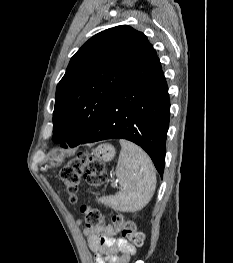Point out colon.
<instances>
[{"mask_svg": "<svg viewBox=\"0 0 233 263\" xmlns=\"http://www.w3.org/2000/svg\"><path fill=\"white\" fill-rule=\"evenodd\" d=\"M60 177L65 185L66 191L70 194L71 201L75 202L76 193L82 178L85 179L88 185L96 187L105 181L106 174L102 162L81 152L61 170ZM81 211L88 227H97L106 222L105 216L96 207L83 205ZM111 224L114 228L120 230L122 235L127 238L132 245L136 247L143 246L145 236L142 232L137 231L133 222L125 220L120 215H115L111 218Z\"/></svg>", "mask_w": 233, "mask_h": 263, "instance_id": "5ec220e1", "label": "colon"}]
</instances>
